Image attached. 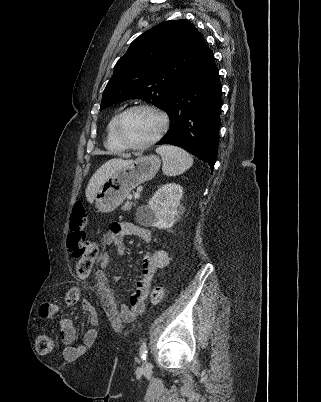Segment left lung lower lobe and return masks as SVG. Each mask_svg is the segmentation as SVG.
<instances>
[{
    "label": "left lung lower lobe",
    "mask_w": 321,
    "mask_h": 402,
    "mask_svg": "<svg viewBox=\"0 0 321 402\" xmlns=\"http://www.w3.org/2000/svg\"><path fill=\"white\" fill-rule=\"evenodd\" d=\"M221 83L213 52L202 56L176 85L165 105L170 129L157 143L184 148L214 168L221 124Z\"/></svg>",
    "instance_id": "1"
}]
</instances>
